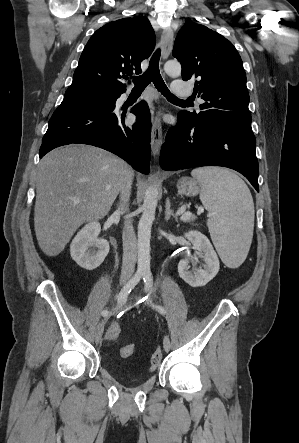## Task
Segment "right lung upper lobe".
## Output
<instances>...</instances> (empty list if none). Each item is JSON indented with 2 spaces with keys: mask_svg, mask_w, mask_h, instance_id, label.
I'll list each match as a JSON object with an SVG mask.
<instances>
[{
  "mask_svg": "<svg viewBox=\"0 0 299 443\" xmlns=\"http://www.w3.org/2000/svg\"><path fill=\"white\" fill-rule=\"evenodd\" d=\"M155 47V33L146 17L112 21L87 42L70 87L99 89L116 94L126 91L121 79L141 73L140 63ZM127 74V75H124Z\"/></svg>",
  "mask_w": 299,
  "mask_h": 443,
  "instance_id": "cb5924a9",
  "label": "right lung upper lobe"
}]
</instances>
